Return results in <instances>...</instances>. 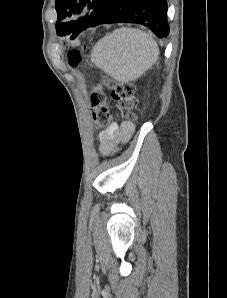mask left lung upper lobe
<instances>
[{
	"label": "left lung upper lobe",
	"instance_id": "1",
	"mask_svg": "<svg viewBox=\"0 0 227 298\" xmlns=\"http://www.w3.org/2000/svg\"><path fill=\"white\" fill-rule=\"evenodd\" d=\"M106 2L107 0H56L57 34H71V39H74L86 28L96 26ZM85 7L93 8L94 11L80 19L66 21L69 17L79 14Z\"/></svg>",
	"mask_w": 227,
	"mask_h": 298
}]
</instances>
